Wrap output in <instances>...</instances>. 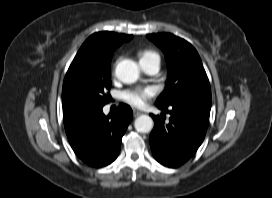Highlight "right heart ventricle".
Here are the masks:
<instances>
[{"label":"right heart ventricle","mask_w":272,"mask_h":198,"mask_svg":"<svg viewBox=\"0 0 272 198\" xmlns=\"http://www.w3.org/2000/svg\"><path fill=\"white\" fill-rule=\"evenodd\" d=\"M138 57L140 62L145 61V60H151V59H158L159 60V55L151 49H144L138 52Z\"/></svg>","instance_id":"1"}]
</instances>
